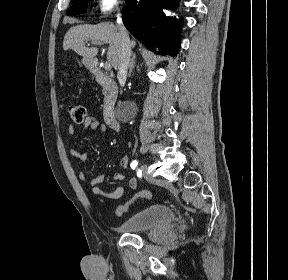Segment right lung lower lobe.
<instances>
[{
  "label": "right lung lower lobe",
  "mask_w": 288,
  "mask_h": 280,
  "mask_svg": "<svg viewBox=\"0 0 288 280\" xmlns=\"http://www.w3.org/2000/svg\"><path fill=\"white\" fill-rule=\"evenodd\" d=\"M123 23L131 34L149 50L159 48L162 54L175 56L179 51V30L182 25L166 17L163 9L173 8L177 0H125Z\"/></svg>",
  "instance_id": "1"
}]
</instances>
